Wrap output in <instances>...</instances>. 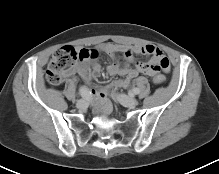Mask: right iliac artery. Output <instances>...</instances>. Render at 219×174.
Wrapping results in <instances>:
<instances>
[{
    "mask_svg": "<svg viewBox=\"0 0 219 174\" xmlns=\"http://www.w3.org/2000/svg\"><path fill=\"white\" fill-rule=\"evenodd\" d=\"M79 92H80V95H81L84 99L88 100V99L90 98L91 93H90V91H89L86 87L81 86V87L79 88Z\"/></svg>",
    "mask_w": 219,
    "mask_h": 174,
    "instance_id": "82829eb1",
    "label": "right iliac artery"
}]
</instances>
